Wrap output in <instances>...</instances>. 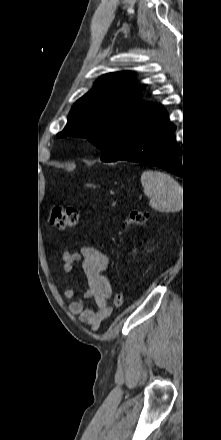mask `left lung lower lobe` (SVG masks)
Returning <instances> with one entry per match:
<instances>
[{
  "instance_id": "0a47b994",
  "label": "left lung lower lobe",
  "mask_w": 221,
  "mask_h": 440,
  "mask_svg": "<svg viewBox=\"0 0 221 440\" xmlns=\"http://www.w3.org/2000/svg\"><path fill=\"white\" fill-rule=\"evenodd\" d=\"M175 129L166 110L153 106L133 129L126 151L118 160L155 165L184 179V163L176 155L171 138Z\"/></svg>"
}]
</instances>
